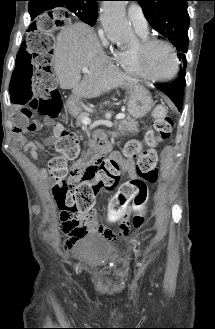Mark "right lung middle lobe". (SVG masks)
<instances>
[{
  "instance_id": "right-lung-middle-lobe-1",
  "label": "right lung middle lobe",
  "mask_w": 215,
  "mask_h": 329,
  "mask_svg": "<svg viewBox=\"0 0 215 329\" xmlns=\"http://www.w3.org/2000/svg\"><path fill=\"white\" fill-rule=\"evenodd\" d=\"M62 9L67 13L72 12L79 17V19L90 26H93L96 22V18L92 17L88 13V9L81 3L76 2H65ZM68 16V15H67Z\"/></svg>"
}]
</instances>
